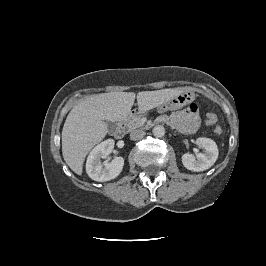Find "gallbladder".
<instances>
[{
	"mask_svg": "<svg viewBox=\"0 0 266 266\" xmlns=\"http://www.w3.org/2000/svg\"><path fill=\"white\" fill-rule=\"evenodd\" d=\"M106 124H107L108 128H109L111 131H113V130L116 129V124H115V123H113V122H108V121H107Z\"/></svg>",
	"mask_w": 266,
	"mask_h": 266,
	"instance_id": "obj_1",
	"label": "gallbladder"
}]
</instances>
